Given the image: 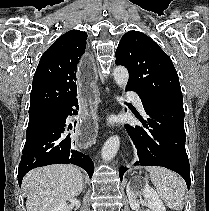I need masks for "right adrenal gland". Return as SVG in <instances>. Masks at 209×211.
<instances>
[{"mask_svg":"<svg viewBox=\"0 0 209 211\" xmlns=\"http://www.w3.org/2000/svg\"><path fill=\"white\" fill-rule=\"evenodd\" d=\"M83 187H84V189H86V182L83 183Z\"/></svg>","mask_w":209,"mask_h":211,"instance_id":"right-adrenal-gland-1","label":"right adrenal gland"}]
</instances>
